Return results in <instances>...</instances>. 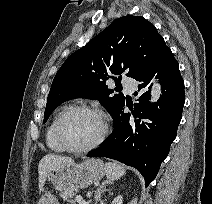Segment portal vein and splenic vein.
Segmentation results:
<instances>
[{"mask_svg": "<svg viewBox=\"0 0 212 204\" xmlns=\"http://www.w3.org/2000/svg\"><path fill=\"white\" fill-rule=\"evenodd\" d=\"M76 201H78L80 204H89L91 201H84L83 198L79 195L76 196Z\"/></svg>", "mask_w": 212, "mask_h": 204, "instance_id": "portal-vein-and-splenic-vein-1", "label": "portal vein and splenic vein"}]
</instances>
